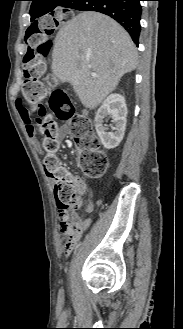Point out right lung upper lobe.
I'll return each mask as SVG.
<instances>
[{
	"mask_svg": "<svg viewBox=\"0 0 183 329\" xmlns=\"http://www.w3.org/2000/svg\"><path fill=\"white\" fill-rule=\"evenodd\" d=\"M31 20H35L47 13L53 14L56 7L68 8L73 0H31Z\"/></svg>",
	"mask_w": 183,
	"mask_h": 329,
	"instance_id": "cb5924a9",
	"label": "right lung upper lobe"
}]
</instances>
